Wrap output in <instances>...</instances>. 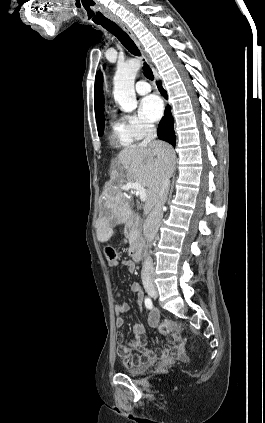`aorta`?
<instances>
[{
	"label": "aorta",
	"mask_w": 265,
	"mask_h": 423,
	"mask_svg": "<svg viewBox=\"0 0 265 423\" xmlns=\"http://www.w3.org/2000/svg\"><path fill=\"white\" fill-rule=\"evenodd\" d=\"M141 67L139 59H130L119 64L114 76V99L124 112H132L137 107L134 81Z\"/></svg>",
	"instance_id": "obj_1"
}]
</instances>
